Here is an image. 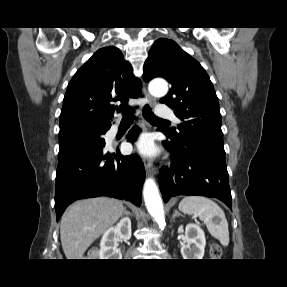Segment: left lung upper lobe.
<instances>
[{"label": "left lung upper lobe", "instance_id": "obj_1", "mask_svg": "<svg viewBox=\"0 0 287 287\" xmlns=\"http://www.w3.org/2000/svg\"><path fill=\"white\" fill-rule=\"evenodd\" d=\"M163 77L171 84L161 103L175 109L182 121L165 130L177 145L204 148L225 157L219 100L213 84L200 63L187 54L176 42L157 39L144 64L143 79Z\"/></svg>", "mask_w": 287, "mask_h": 287}]
</instances>
